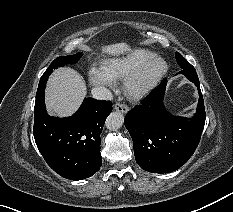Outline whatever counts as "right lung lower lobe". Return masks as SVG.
Instances as JSON below:
<instances>
[{
  "instance_id": "right-lung-lower-lobe-1",
  "label": "right lung lower lobe",
  "mask_w": 233,
  "mask_h": 212,
  "mask_svg": "<svg viewBox=\"0 0 233 212\" xmlns=\"http://www.w3.org/2000/svg\"><path fill=\"white\" fill-rule=\"evenodd\" d=\"M45 85L36 93L33 128L36 145L47 164L62 177L88 178L102 164L100 133L112 111V103L89 97L73 116L51 117L45 108Z\"/></svg>"
}]
</instances>
